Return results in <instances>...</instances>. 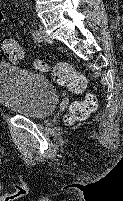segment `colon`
Listing matches in <instances>:
<instances>
[{
	"mask_svg": "<svg viewBox=\"0 0 123 201\" xmlns=\"http://www.w3.org/2000/svg\"><path fill=\"white\" fill-rule=\"evenodd\" d=\"M1 48L9 61L15 64L23 63L25 54L18 42L12 38L2 40ZM37 66L43 70L49 71L56 83L66 86L72 91L80 92L85 88V78L68 63H58L49 67L41 62ZM96 108V98L89 94L85 101L74 102L70 106L67 121L75 122L85 120L88 115Z\"/></svg>",
	"mask_w": 123,
	"mask_h": 201,
	"instance_id": "obj_1",
	"label": "colon"
}]
</instances>
